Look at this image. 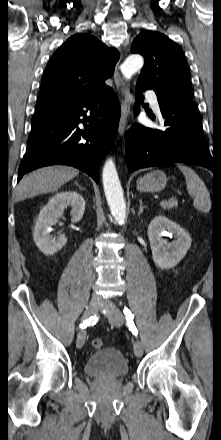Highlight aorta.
<instances>
[{
  "mask_svg": "<svg viewBox=\"0 0 221 440\" xmlns=\"http://www.w3.org/2000/svg\"><path fill=\"white\" fill-rule=\"evenodd\" d=\"M143 58L138 54L128 56L121 65L124 77L130 78L143 66ZM103 187L108 205L115 220L122 224L126 218V204L123 190L113 159H108L102 171Z\"/></svg>",
  "mask_w": 221,
  "mask_h": 440,
  "instance_id": "obj_1",
  "label": "aorta"
}]
</instances>
